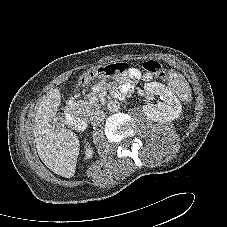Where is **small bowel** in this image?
<instances>
[{"label":"small bowel","instance_id":"small-bowel-1","mask_svg":"<svg viewBox=\"0 0 227 227\" xmlns=\"http://www.w3.org/2000/svg\"><path fill=\"white\" fill-rule=\"evenodd\" d=\"M129 76L132 77V78L138 79V78L141 77V74H140V72H139L138 70H136V69H131V70L129 71ZM103 86H104L103 83H97V84L95 85V89H96V90H101V89H103Z\"/></svg>","mask_w":227,"mask_h":227}]
</instances>
